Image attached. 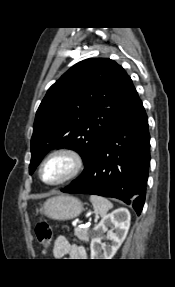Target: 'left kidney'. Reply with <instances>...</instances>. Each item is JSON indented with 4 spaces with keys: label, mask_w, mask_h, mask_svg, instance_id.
Segmentation results:
<instances>
[{
    "label": "left kidney",
    "mask_w": 175,
    "mask_h": 287,
    "mask_svg": "<svg viewBox=\"0 0 175 287\" xmlns=\"http://www.w3.org/2000/svg\"><path fill=\"white\" fill-rule=\"evenodd\" d=\"M130 219V213L126 208H118L102 218L92 232L91 259H112L127 236ZM108 227L112 229L108 230ZM106 232L107 239L111 241L109 245L102 243Z\"/></svg>",
    "instance_id": "obj_1"
}]
</instances>
